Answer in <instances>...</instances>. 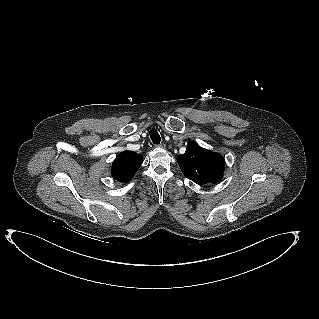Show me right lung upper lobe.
Masks as SVG:
<instances>
[{
	"instance_id": "obj_1",
	"label": "right lung upper lobe",
	"mask_w": 319,
	"mask_h": 319,
	"mask_svg": "<svg viewBox=\"0 0 319 319\" xmlns=\"http://www.w3.org/2000/svg\"><path fill=\"white\" fill-rule=\"evenodd\" d=\"M141 163V155L136 152L125 151L114 160L112 176L115 180L126 183L132 179Z\"/></svg>"
}]
</instances>
